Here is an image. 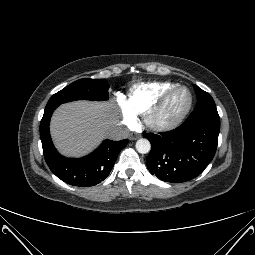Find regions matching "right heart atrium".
I'll return each instance as SVG.
<instances>
[{
	"label": "right heart atrium",
	"instance_id": "d8ad5b80",
	"mask_svg": "<svg viewBox=\"0 0 255 255\" xmlns=\"http://www.w3.org/2000/svg\"><path fill=\"white\" fill-rule=\"evenodd\" d=\"M124 121L127 125H133L136 122V118L131 109L124 103L121 104Z\"/></svg>",
	"mask_w": 255,
	"mask_h": 255
}]
</instances>
